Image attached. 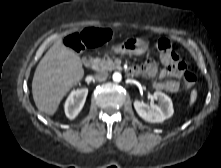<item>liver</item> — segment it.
<instances>
[{"label": "liver", "mask_w": 221, "mask_h": 168, "mask_svg": "<svg viewBox=\"0 0 221 168\" xmlns=\"http://www.w3.org/2000/svg\"><path fill=\"white\" fill-rule=\"evenodd\" d=\"M84 76L78 54L58 38L39 62L32 81V95L39 111L54 115L62 98Z\"/></svg>", "instance_id": "6515ba94"}]
</instances>
